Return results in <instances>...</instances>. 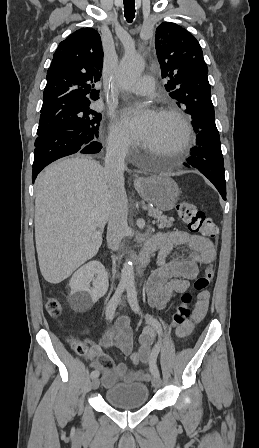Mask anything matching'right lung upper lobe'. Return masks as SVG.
Returning <instances> with one entry per match:
<instances>
[{"label":"right lung upper lobe","instance_id":"right-lung-upper-lobe-1","mask_svg":"<svg viewBox=\"0 0 259 448\" xmlns=\"http://www.w3.org/2000/svg\"><path fill=\"white\" fill-rule=\"evenodd\" d=\"M103 49L99 33L81 28L62 41L47 71L41 114L89 106L99 98Z\"/></svg>","mask_w":259,"mask_h":448}]
</instances>
